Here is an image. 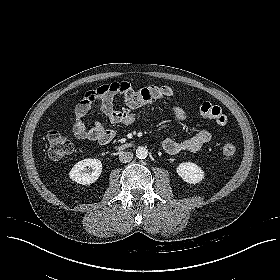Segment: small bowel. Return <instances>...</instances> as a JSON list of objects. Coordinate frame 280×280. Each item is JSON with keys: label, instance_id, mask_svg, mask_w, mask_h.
<instances>
[{"label": "small bowel", "instance_id": "c3829d8e", "mask_svg": "<svg viewBox=\"0 0 280 280\" xmlns=\"http://www.w3.org/2000/svg\"><path fill=\"white\" fill-rule=\"evenodd\" d=\"M116 88L115 90H113ZM129 90H133L128 82L118 84L103 85L95 90L88 91L82 100L75 106L74 113L76 121L73 125V132L76 137L89 140H97L101 143V137L92 136V132L107 130L111 134V139L114 137V131L105 128L100 122L89 127L83 120L90 109L97 105L100 111L107 116L111 123L127 124L133 121V114L131 109L139 108L152 103L153 101L173 95L171 87L162 86H148L138 90V96L130 100L124 99V106L116 107L115 98L123 96ZM174 117L178 122L185 119V112L182 108L173 107ZM211 140V133L208 130H201L194 137L184 141H176L171 138H166L161 142V147L164 151L170 154L180 152H192L202 148Z\"/></svg>", "mask_w": 280, "mask_h": 280}]
</instances>
